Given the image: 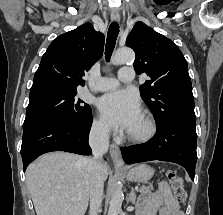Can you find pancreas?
Listing matches in <instances>:
<instances>
[{"mask_svg": "<svg viewBox=\"0 0 223 215\" xmlns=\"http://www.w3.org/2000/svg\"><path fill=\"white\" fill-rule=\"evenodd\" d=\"M151 189H153V185H141L138 191H151Z\"/></svg>", "mask_w": 223, "mask_h": 215, "instance_id": "1", "label": "pancreas"}]
</instances>
